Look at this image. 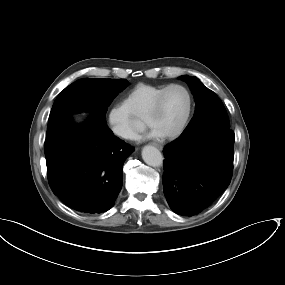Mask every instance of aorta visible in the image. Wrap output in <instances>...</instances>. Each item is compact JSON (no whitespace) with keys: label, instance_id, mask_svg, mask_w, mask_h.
<instances>
[{"label":"aorta","instance_id":"762f6f07","mask_svg":"<svg viewBox=\"0 0 285 285\" xmlns=\"http://www.w3.org/2000/svg\"><path fill=\"white\" fill-rule=\"evenodd\" d=\"M142 158L147 165L152 167H159L163 164V156L161 152L151 145L143 147Z\"/></svg>","mask_w":285,"mask_h":285}]
</instances>
